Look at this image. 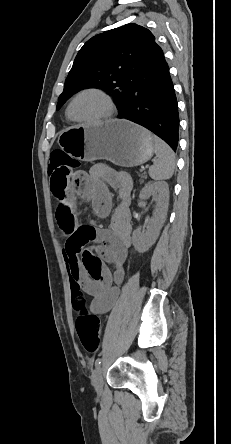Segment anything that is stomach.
Here are the masks:
<instances>
[{
    "label": "stomach",
    "instance_id": "1",
    "mask_svg": "<svg viewBox=\"0 0 231 444\" xmlns=\"http://www.w3.org/2000/svg\"><path fill=\"white\" fill-rule=\"evenodd\" d=\"M58 144L73 158L105 159L122 167L139 166L154 153L153 136L147 130L117 119L66 128L60 133Z\"/></svg>",
    "mask_w": 231,
    "mask_h": 444
}]
</instances>
